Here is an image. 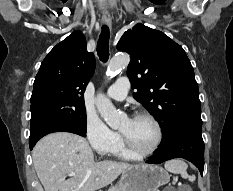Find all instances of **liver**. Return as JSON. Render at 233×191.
Segmentation results:
<instances>
[{
  "mask_svg": "<svg viewBox=\"0 0 233 191\" xmlns=\"http://www.w3.org/2000/svg\"><path fill=\"white\" fill-rule=\"evenodd\" d=\"M33 165L45 191H96L131 167L124 162L94 161L87 140L68 132L43 137L33 149ZM72 177L66 180V176Z\"/></svg>",
  "mask_w": 233,
  "mask_h": 191,
  "instance_id": "1",
  "label": "liver"
}]
</instances>
